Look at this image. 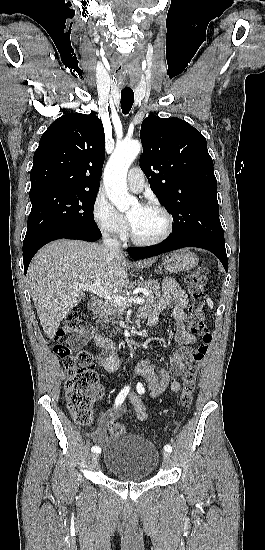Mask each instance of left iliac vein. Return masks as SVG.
Here are the masks:
<instances>
[{"label":"left iliac vein","mask_w":265,"mask_h":550,"mask_svg":"<svg viewBox=\"0 0 265 550\" xmlns=\"http://www.w3.org/2000/svg\"><path fill=\"white\" fill-rule=\"evenodd\" d=\"M170 461V454L168 452L163 453V464L164 466H167Z\"/></svg>","instance_id":"obj_1"}]
</instances>
